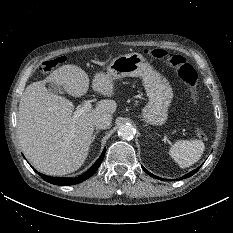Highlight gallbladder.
I'll use <instances>...</instances> for the list:
<instances>
[{
    "mask_svg": "<svg viewBox=\"0 0 233 233\" xmlns=\"http://www.w3.org/2000/svg\"><path fill=\"white\" fill-rule=\"evenodd\" d=\"M48 90L54 94H63L64 93L63 88L57 84H54V83L49 84Z\"/></svg>",
    "mask_w": 233,
    "mask_h": 233,
    "instance_id": "bac80fb5",
    "label": "gallbladder"
}]
</instances>
